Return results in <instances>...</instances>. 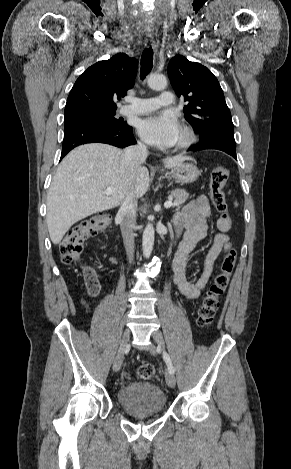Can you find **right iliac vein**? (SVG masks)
Masks as SVG:
<instances>
[{"label":"right iliac vein","mask_w":291,"mask_h":469,"mask_svg":"<svg viewBox=\"0 0 291 469\" xmlns=\"http://www.w3.org/2000/svg\"><path fill=\"white\" fill-rule=\"evenodd\" d=\"M129 337H130V331L128 329H126L123 333V337H122V341H121V345H120V348H119V351L114 359V363H113V369L114 371H119L121 366H122V362H123V354H124V351H125V347L129 341Z\"/></svg>","instance_id":"1"}]
</instances>
